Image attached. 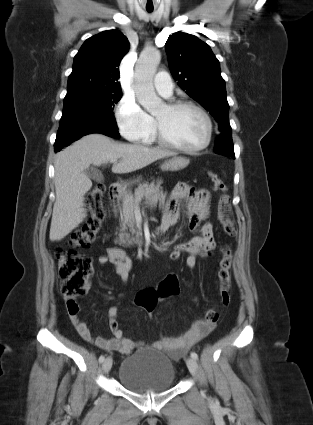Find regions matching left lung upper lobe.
<instances>
[{"instance_id": "obj_1", "label": "left lung upper lobe", "mask_w": 313, "mask_h": 425, "mask_svg": "<svg viewBox=\"0 0 313 425\" xmlns=\"http://www.w3.org/2000/svg\"><path fill=\"white\" fill-rule=\"evenodd\" d=\"M165 47L171 73L178 85L210 112L221 133H230L225 81L209 45L194 35L178 32L168 38ZM215 150L221 155L234 156L232 140Z\"/></svg>"}]
</instances>
